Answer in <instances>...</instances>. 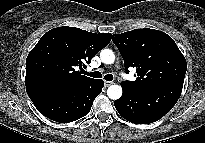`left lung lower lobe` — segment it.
Wrapping results in <instances>:
<instances>
[{
	"label": "left lung lower lobe",
	"mask_w": 205,
	"mask_h": 143,
	"mask_svg": "<svg viewBox=\"0 0 205 143\" xmlns=\"http://www.w3.org/2000/svg\"><path fill=\"white\" fill-rule=\"evenodd\" d=\"M182 88L181 85H167L137 91L122 86L123 94L114 105L126 120L149 124L161 119L176 104Z\"/></svg>",
	"instance_id": "obj_1"
}]
</instances>
